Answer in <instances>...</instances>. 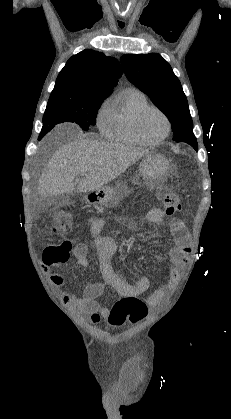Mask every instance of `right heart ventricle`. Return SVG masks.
<instances>
[{
	"mask_svg": "<svg viewBox=\"0 0 231 419\" xmlns=\"http://www.w3.org/2000/svg\"><path fill=\"white\" fill-rule=\"evenodd\" d=\"M146 96L138 90L125 91L117 104L110 109L111 119L106 137L115 143L145 144L137 136L134 120L137 113L148 106Z\"/></svg>",
	"mask_w": 231,
	"mask_h": 419,
	"instance_id": "obj_1",
	"label": "right heart ventricle"
}]
</instances>
